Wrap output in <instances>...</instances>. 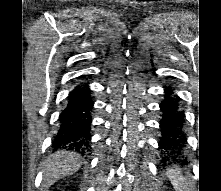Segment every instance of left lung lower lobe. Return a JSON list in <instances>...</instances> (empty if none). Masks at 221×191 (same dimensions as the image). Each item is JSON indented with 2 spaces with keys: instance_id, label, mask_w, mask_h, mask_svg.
Segmentation results:
<instances>
[{
  "instance_id": "0a47b994",
  "label": "left lung lower lobe",
  "mask_w": 221,
  "mask_h": 191,
  "mask_svg": "<svg viewBox=\"0 0 221 191\" xmlns=\"http://www.w3.org/2000/svg\"><path fill=\"white\" fill-rule=\"evenodd\" d=\"M180 98L171 86L165 87V99L161 102L162 120L159 140L162 160L184 157L186 147L185 114L180 108Z\"/></svg>"
}]
</instances>
